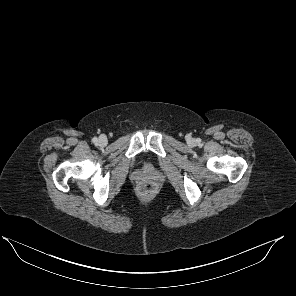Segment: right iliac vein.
Instances as JSON below:
<instances>
[{
	"label": "right iliac vein",
	"instance_id": "1",
	"mask_svg": "<svg viewBox=\"0 0 296 296\" xmlns=\"http://www.w3.org/2000/svg\"><path fill=\"white\" fill-rule=\"evenodd\" d=\"M107 143V139L105 137H100L99 138V144L100 145H106Z\"/></svg>",
	"mask_w": 296,
	"mask_h": 296
}]
</instances>
